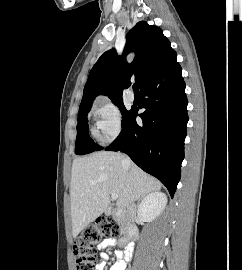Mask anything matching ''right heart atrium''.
Wrapping results in <instances>:
<instances>
[{"label":"right heart atrium","mask_w":242,"mask_h":270,"mask_svg":"<svg viewBox=\"0 0 242 270\" xmlns=\"http://www.w3.org/2000/svg\"><path fill=\"white\" fill-rule=\"evenodd\" d=\"M97 137L103 143L113 141L122 130V115L119 107L110 99L101 98L94 106Z\"/></svg>","instance_id":"d8ad5b80"}]
</instances>
